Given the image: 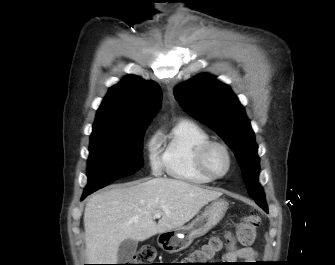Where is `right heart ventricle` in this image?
<instances>
[{
  "instance_id": "obj_1",
  "label": "right heart ventricle",
  "mask_w": 335,
  "mask_h": 265,
  "mask_svg": "<svg viewBox=\"0 0 335 265\" xmlns=\"http://www.w3.org/2000/svg\"><path fill=\"white\" fill-rule=\"evenodd\" d=\"M210 140V134L196 122L188 119L178 121L159 138L162 145V165L167 174L195 185L212 182L197 165L199 149Z\"/></svg>"
}]
</instances>
